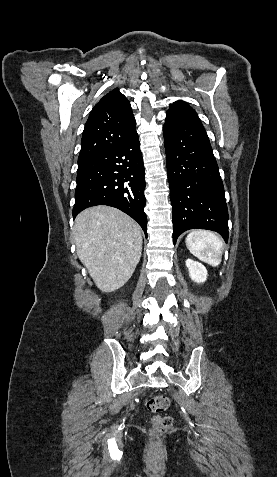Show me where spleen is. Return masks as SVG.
Returning a JSON list of instances; mask_svg holds the SVG:
<instances>
[{"label": "spleen", "mask_w": 277, "mask_h": 477, "mask_svg": "<svg viewBox=\"0 0 277 477\" xmlns=\"http://www.w3.org/2000/svg\"><path fill=\"white\" fill-rule=\"evenodd\" d=\"M188 250L201 261L218 266L222 260L223 241L215 233L194 230L185 239Z\"/></svg>", "instance_id": "spleen-1"}]
</instances>
